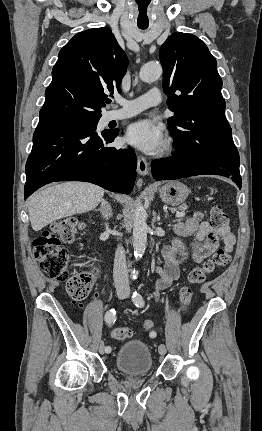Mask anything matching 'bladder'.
I'll return each mask as SVG.
<instances>
[{
  "mask_svg": "<svg viewBox=\"0 0 262 431\" xmlns=\"http://www.w3.org/2000/svg\"><path fill=\"white\" fill-rule=\"evenodd\" d=\"M115 365L127 375L150 373L153 368V358L146 341L137 338L123 343L116 353Z\"/></svg>",
  "mask_w": 262,
  "mask_h": 431,
  "instance_id": "31cf9c89",
  "label": "bladder"
}]
</instances>
